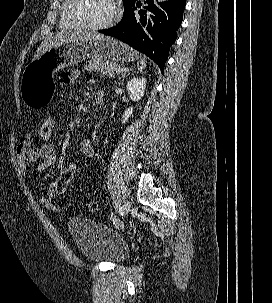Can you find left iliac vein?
Masks as SVG:
<instances>
[{"instance_id": "4c4485c4", "label": "left iliac vein", "mask_w": 272, "mask_h": 303, "mask_svg": "<svg viewBox=\"0 0 272 303\" xmlns=\"http://www.w3.org/2000/svg\"><path fill=\"white\" fill-rule=\"evenodd\" d=\"M131 209V202L129 200H125L122 204V207H121V215L122 216H125L129 213Z\"/></svg>"}]
</instances>
